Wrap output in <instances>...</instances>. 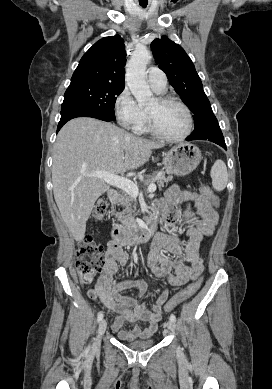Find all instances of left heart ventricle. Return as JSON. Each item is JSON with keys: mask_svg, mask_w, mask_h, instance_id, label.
Segmentation results:
<instances>
[{"mask_svg": "<svg viewBox=\"0 0 272 389\" xmlns=\"http://www.w3.org/2000/svg\"><path fill=\"white\" fill-rule=\"evenodd\" d=\"M148 112L154 116L161 132L168 136H179L187 129L188 119L186 113L178 105H161L156 100L148 108Z\"/></svg>", "mask_w": 272, "mask_h": 389, "instance_id": "left-heart-ventricle-1", "label": "left heart ventricle"}]
</instances>
